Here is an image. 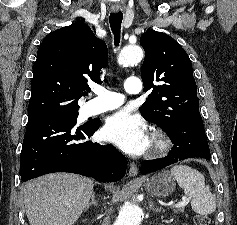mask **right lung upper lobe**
<instances>
[{
  "instance_id": "cb5924a9",
  "label": "right lung upper lobe",
  "mask_w": 237,
  "mask_h": 225,
  "mask_svg": "<svg viewBox=\"0 0 237 225\" xmlns=\"http://www.w3.org/2000/svg\"><path fill=\"white\" fill-rule=\"evenodd\" d=\"M108 60L107 46L91 28L76 22L48 34L33 66L28 120L78 112V99L98 84Z\"/></svg>"
}]
</instances>
